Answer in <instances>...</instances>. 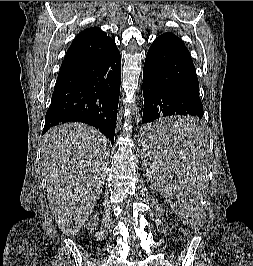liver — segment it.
<instances>
[{
  "instance_id": "1",
  "label": "liver",
  "mask_w": 253,
  "mask_h": 266,
  "mask_svg": "<svg viewBox=\"0 0 253 266\" xmlns=\"http://www.w3.org/2000/svg\"><path fill=\"white\" fill-rule=\"evenodd\" d=\"M41 151L49 206L61 231L75 236L100 197L109 141L92 126L67 123L47 132Z\"/></svg>"
}]
</instances>
